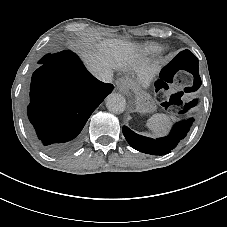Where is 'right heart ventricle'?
<instances>
[{"mask_svg":"<svg viewBox=\"0 0 227 227\" xmlns=\"http://www.w3.org/2000/svg\"><path fill=\"white\" fill-rule=\"evenodd\" d=\"M161 50V45L157 43H147L142 46L141 53L143 56H150L158 53Z\"/></svg>","mask_w":227,"mask_h":227,"instance_id":"1","label":"right heart ventricle"}]
</instances>
